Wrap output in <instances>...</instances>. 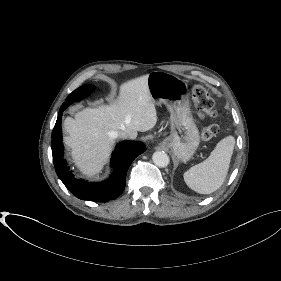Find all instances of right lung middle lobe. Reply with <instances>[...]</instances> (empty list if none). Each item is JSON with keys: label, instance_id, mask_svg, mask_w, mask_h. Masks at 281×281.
Listing matches in <instances>:
<instances>
[{"label": "right lung middle lobe", "instance_id": "1", "mask_svg": "<svg viewBox=\"0 0 281 281\" xmlns=\"http://www.w3.org/2000/svg\"><path fill=\"white\" fill-rule=\"evenodd\" d=\"M94 89L95 86L93 85H84L82 87H79L78 89H76L75 91L69 94V96L66 99V102L63 103L60 109H62L67 105L72 104L73 102L80 101L81 99L89 95Z\"/></svg>", "mask_w": 281, "mask_h": 281}]
</instances>
